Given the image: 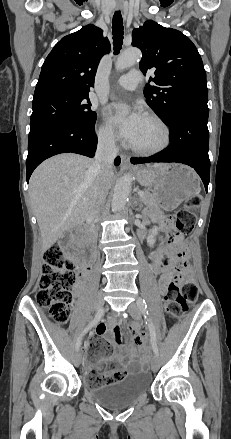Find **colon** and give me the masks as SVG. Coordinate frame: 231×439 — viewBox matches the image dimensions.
<instances>
[{
  "label": "colon",
  "mask_w": 231,
  "mask_h": 439,
  "mask_svg": "<svg viewBox=\"0 0 231 439\" xmlns=\"http://www.w3.org/2000/svg\"><path fill=\"white\" fill-rule=\"evenodd\" d=\"M200 202V197L195 196L187 201L186 208L177 211L174 224L178 232L187 233L193 229L196 218L192 210L198 207ZM180 238L177 233L171 235L172 242H177ZM186 258V253L181 251L174 263L177 273L165 274L162 277L166 288L164 296L166 311L175 318L182 315L188 303L197 301L199 297L198 286L188 278ZM75 282V264L64 255L59 244L49 247L44 253L43 272L39 282L36 302L59 324L65 323L69 317ZM137 330L138 326L136 324L131 325V333L135 334ZM88 347V358L92 360L105 359L112 352L111 346L98 337H92L89 340ZM124 376L125 371L118 369L108 372L90 370L87 383L89 386L114 384L121 381Z\"/></svg>",
  "instance_id": "5ec220e1"
}]
</instances>
